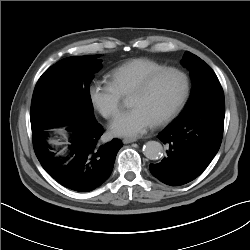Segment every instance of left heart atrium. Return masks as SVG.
Listing matches in <instances>:
<instances>
[{"label":"left heart atrium","mask_w":250,"mask_h":250,"mask_svg":"<svg viewBox=\"0 0 250 250\" xmlns=\"http://www.w3.org/2000/svg\"><path fill=\"white\" fill-rule=\"evenodd\" d=\"M155 123L143 108L134 107L117 117L110 128L116 136L138 137L151 129Z\"/></svg>","instance_id":"left-heart-atrium-1"}]
</instances>
